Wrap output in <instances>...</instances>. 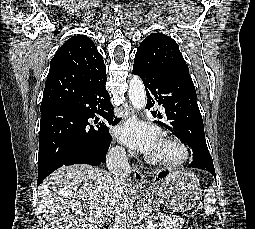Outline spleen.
<instances>
[{
	"instance_id": "spleen-1",
	"label": "spleen",
	"mask_w": 255,
	"mask_h": 229,
	"mask_svg": "<svg viewBox=\"0 0 255 229\" xmlns=\"http://www.w3.org/2000/svg\"><path fill=\"white\" fill-rule=\"evenodd\" d=\"M215 208H216L215 192L212 187H209L204 198L205 213L209 216H212L215 213Z\"/></svg>"
}]
</instances>
